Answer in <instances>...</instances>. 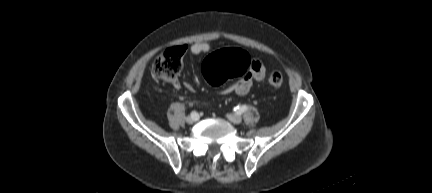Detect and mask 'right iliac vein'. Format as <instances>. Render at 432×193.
<instances>
[{
  "instance_id": "1",
  "label": "right iliac vein",
  "mask_w": 432,
  "mask_h": 193,
  "mask_svg": "<svg viewBox=\"0 0 432 193\" xmlns=\"http://www.w3.org/2000/svg\"><path fill=\"white\" fill-rule=\"evenodd\" d=\"M198 119H199V115L198 114H197V116L190 115V116H188L186 118V122L189 123V124H192V123L196 122Z\"/></svg>"
}]
</instances>
